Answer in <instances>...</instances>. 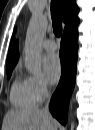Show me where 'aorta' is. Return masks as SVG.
I'll return each mask as SVG.
<instances>
[{
	"label": "aorta",
	"mask_w": 95,
	"mask_h": 130,
	"mask_svg": "<svg viewBox=\"0 0 95 130\" xmlns=\"http://www.w3.org/2000/svg\"><path fill=\"white\" fill-rule=\"evenodd\" d=\"M47 19L42 15H34L29 23L24 55L26 67L33 75L38 76L41 73V52L42 39L47 29Z\"/></svg>",
	"instance_id": "1"
}]
</instances>
